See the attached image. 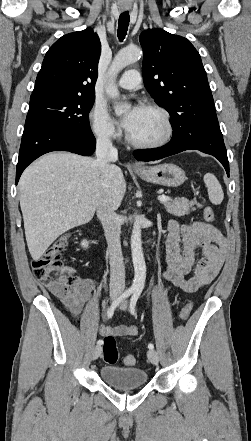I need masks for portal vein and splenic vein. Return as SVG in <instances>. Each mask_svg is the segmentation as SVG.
<instances>
[{
	"label": "portal vein and splenic vein",
	"instance_id": "1",
	"mask_svg": "<svg viewBox=\"0 0 251 441\" xmlns=\"http://www.w3.org/2000/svg\"><path fill=\"white\" fill-rule=\"evenodd\" d=\"M158 200L161 202V203H164V202H167V201H169V200H171L168 196H164V195H161V196H158Z\"/></svg>",
	"mask_w": 251,
	"mask_h": 441
}]
</instances>
